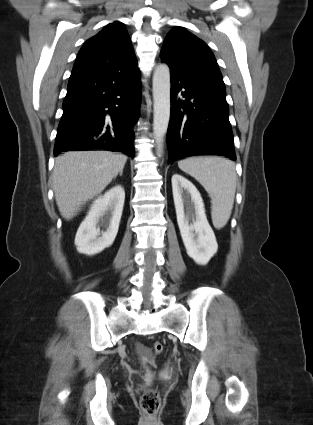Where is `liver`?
I'll use <instances>...</instances> for the list:
<instances>
[{"mask_svg": "<svg viewBox=\"0 0 313 425\" xmlns=\"http://www.w3.org/2000/svg\"><path fill=\"white\" fill-rule=\"evenodd\" d=\"M127 156L109 151H71L55 159L53 190L60 214L73 218L124 168Z\"/></svg>", "mask_w": 313, "mask_h": 425, "instance_id": "6515ba94", "label": "liver"}]
</instances>
